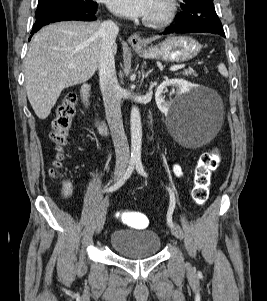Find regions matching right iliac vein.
<instances>
[{
  "mask_svg": "<svg viewBox=\"0 0 267 301\" xmlns=\"http://www.w3.org/2000/svg\"><path fill=\"white\" fill-rule=\"evenodd\" d=\"M124 171H125V165L117 166L114 171L113 181L117 182L124 174ZM107 206H108V199L106 197V199L102 202V204L99 208V212H98V216H97L96 232H95L97 235L102 231V229L104 227Z\"/></svg>",
  "mask_w": 267,
  "mask_h": 301,
  "instance_id": "right-iliac-vein-1",
  "label": "right iliac vein"
}]
</instances>
